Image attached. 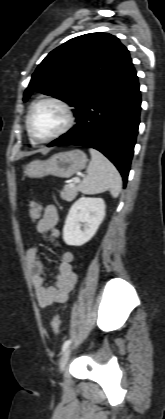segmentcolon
<instances>
[{
  "label": "colon",
  "instance_id": "obj_1",
  "mask_svg": "<svg viewBox=\"0 0 165 419\" xmlns=\"http://www.w3.org/2000/svg\"><path fill=\"white\" fill-rule=\"evenodd\" d=\"M29 215L32 221H37L41 216V207L39 203L32 201L29 204ZM51 327L54 333H59L60 331V318L59 316H54L51 321Z\"/></svg>",
  "mask_w": 165,
  "mask_h": 419
}]
</instances>
